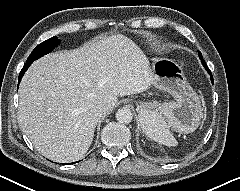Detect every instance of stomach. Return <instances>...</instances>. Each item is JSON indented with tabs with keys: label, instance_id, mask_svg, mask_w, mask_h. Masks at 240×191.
<instances>
[{
	"label": "stomach",
	"instance_id": "0dacf381",
	"mask_svg": "<svg viewBox=\"0 0 240 191\" xmlns=\"http://www.w3.org/2000/svg\"><path fill=\"white\" fill-rule=\"evenodd\" d=\"M153 83L156 88L168 92L174 101L162 106L164 115L171 126L177 131L190 133L200 124L202 118L201 98L191 87L181 67L172 60L159 59L151 66ZM155 105L140 102V117L149 113Z\"/></svg>",
	"mask_w": 240,
	"mask_h": 191
}]
</instances>
